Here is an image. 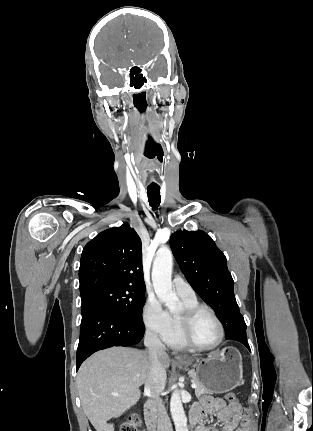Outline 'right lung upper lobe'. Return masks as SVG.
<instances>
[{
    "instance_id": "obj_1",
    "label": "right lung upper lobe",
    "mask_w": 313,
    "mask_h": 431,
    "mask_svg": "<svg viewBox=\"0 0 313 431\" xmlns=\"http://www.w3.org/2000/svg\"><path fill=\"white\" fill-rule=\"evenodd\" d=\"M79 281L81 297L115 286L145 290L142 244L136 231L123 224L88 242L81 255Z\"/></svg>"
}]
</instances>
